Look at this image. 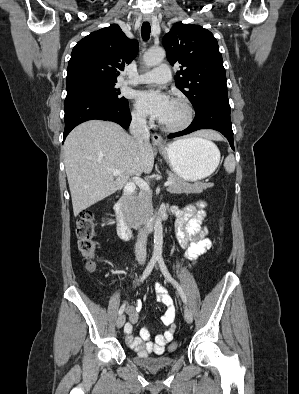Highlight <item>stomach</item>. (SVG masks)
Masks as SVG:
<instances>
[{"label":"stomach","mask_w":299,"mask_h":394,"mask_svg":"<svg viewBox=\"0 0 299 394\" xmlns=\"http://www.w3.org/2000/svg\"><path fill=\"white\" fill-rule=\"evenodd\" d=\"M159 151L179 178L191 182L211 175L220 161L217 146L200 137L176 140Z\"/></svg>","instance_id":"1"}]
</instances>
